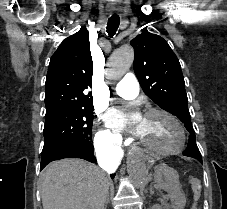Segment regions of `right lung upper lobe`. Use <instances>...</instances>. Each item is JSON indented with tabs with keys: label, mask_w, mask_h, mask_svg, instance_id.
<instances>
[{
	"label": "right lung upper lobe",
	"mask_w": 227,
	"mask_h": 209,
	"mask_svg": "<svg viewBox=\"0 0 227 209\" xmlns=\"http://www.w3.org/2000/svg\"><path fill=\"white\" fill-rule=\"evenodd\" d=\"M93 62L85 27L66 38L51 57L46 77L45 104L53 99L92 98L84 90L92 86Z\"/></svg>",
	"instance_id": "cb5924a9"
}]
</instances>
